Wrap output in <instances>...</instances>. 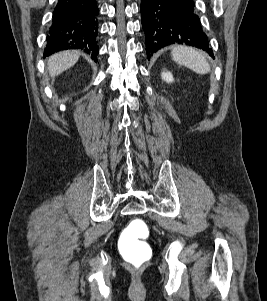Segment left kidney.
Returning <instances> with one entry per match:
<instances>
[{"instance_id": "obj_1", "label": "left kidney", "mask_w": 267, "mask_h": 301, "mask_svg": "<svg viewBox=\"0 0 267 301\" xmlns=\"http://www.w3.org/2000/svg\"><path fill=\"white\" fill-rule=\"evenodd\" d=\"M162 80L166 81L167 83H171L174 81L172 73L168 71H163L161 73Z\"/></svg>"}]
</instances>
